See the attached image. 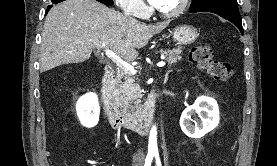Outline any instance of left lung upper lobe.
Segmentation results:
<instances>
[{
    "instance_id": "1",
    "label": "left lung upper lobe",
    "mask_w": 277,
    "mask_h": 166,
    "mask_svg": "<svg viewBox=\"0 0 277 166\" xmlns=\"http://www.w3.org/2000/svg\"><path fill=\"white\" fill-rule=\"evenodd\" d=\"M213 5H225L237 7V0H192L191 7L189 11H194L203 7L213 6Z\"/></svg>"
}]
</instances>
